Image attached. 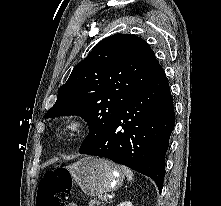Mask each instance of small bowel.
<instances>
[{"mask_svg":"<svg viewBox=\"0 0 221 206\" xmlns=\"http://www.w3.org/2000/svg\"><path fill=\"white\" fill-rule=\"evenodd\" d=\"M68 206H77L75 203H69Z\"/></svg>","mask_w":221,"mask_h":206,"instance_id":"1","label":"small bowel"}]
</instances>
